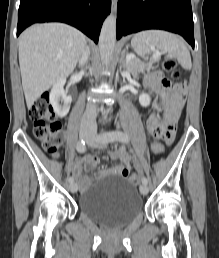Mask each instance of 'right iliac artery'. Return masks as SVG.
Wrapping results in <instances>:
<instances>
[{"instance_id": "obj_1", "label": "right iliac artery", "mask_w": 219, "mask_h": 258, "mask_svg": "<svg viewBox=\"0 0 219 258\" xmlns=\"http://www.w3.org/2000/svg\"><path fill=\"white\" fill-rule=\"evenodd\" d=\"M77 151L79 153H84L86 151V145H85V141L81 140L78 141L77 145H76ZM68 181L70 183L74 182V178L73 177H69Z\"/></svg>"}]
</instances>
